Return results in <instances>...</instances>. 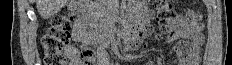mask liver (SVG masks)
I'll list each match as a JSON object with an SVG mask.
<instances>
[{"instance_id":"liver-1","label":"liver","mask_w":232,"mask_h":65,"mask_svg":"<svg viewBox=\"0 0 232 65\" xmlns=\"http://www.w3.org/2000/svg\"><path fill=\"white\" fill-rule=\"evenodd\" d=\"M68 0H36L38 13L48 19L58 13Z\"/></svg>"}]
</instances>
